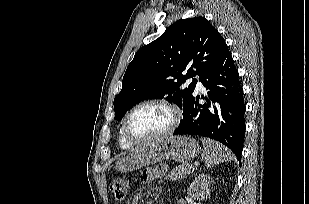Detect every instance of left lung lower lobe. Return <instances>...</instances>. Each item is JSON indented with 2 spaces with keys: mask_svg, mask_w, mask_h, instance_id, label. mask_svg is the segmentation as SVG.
Here are the masks:
<instances>
[{
  "mask_svg": "<svg viewBox=\"0 0 309 204\" xmlns=\"http://www.w3.org/2000/svg\"><path fill=\"white\" fill-rule=\"evenodd\" d=\"M208 90L207 103L193 96L183 111L174 135H200L228 146L241 160L245 133L243 88L233 58L226 47L218 60L199 78ZM204 99V97H202Z\"/></svg>",
  "mask_w": 309,
  "mask_h": 204,
  "instance_id": "left-lung-lower-lobe-1",
  "label": "left lung lower lobe"
}]
</instances>
